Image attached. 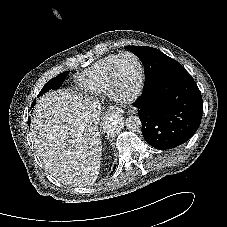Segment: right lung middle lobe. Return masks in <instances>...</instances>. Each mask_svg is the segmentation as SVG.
Segmentation results:
<instances>
[{
    "mask_svg": "<svg viewBox=\"0 0 227 227\" xmlns=\"http://www.w3.org/2000/svg\"><path fill=\"white\" fill-rule=\"evenodd\" d=\"M68 71L63 72L62 74L54 77L53 79L49 80L42 88V90L40 91V93L38 94L37 97H39L40 95L44 94L45 92L49 91V90H54V89H58L63 81L65 80L66 76L68 75ZM35 105V101L32 103L33 107ZM28 123H30V118L28 119Z\"/></svg>",
    "mask_w": 227,
    "mask_h": 227,
    "instance_id": "obj_1",
    "label": "right lung middle lobe"
}]
</instances>
